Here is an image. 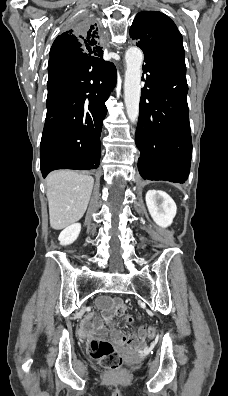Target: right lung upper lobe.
Wrapping results in <instances>:
<instances>
[{"label": "right lung upper lobe", "instance_id": "1", "mask_svg": "<svg viewBox=\"0 0 228 396\" xmlns=\"http://www.w3.org/2000/svg\"><path fill=\"white\" fill-rule=\"evenodd\" d=\"M93 25L78 27L59 35L50 50L48 71L57 70L56 60H69L76 57L100 58L103 57L102 47L99 45V36Z\"/></svg>", "mask_w": 228, "mask_h": 396}]
</instances>
